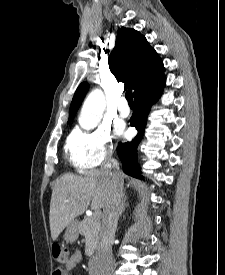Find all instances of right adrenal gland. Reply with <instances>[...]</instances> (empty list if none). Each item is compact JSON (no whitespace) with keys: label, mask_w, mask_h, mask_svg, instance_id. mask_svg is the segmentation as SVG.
<instances>
[{"label":"right adrenal gland","mask_w":225,"mask_h":275,"mask_svg":"<svg viewBox=\"0 0 225 275\" xmlns=\"http://www.w3.org/2000/svg\"><path fill=\"white\" fill-rule=\"evenodd\" d=\"M126 199L127 197L125 196L121 202V205H120V216L123 214V212L125 211V206H126Z\"/></svg>","instance_id":"right-adrenal-gland-1"}]
</instances>
